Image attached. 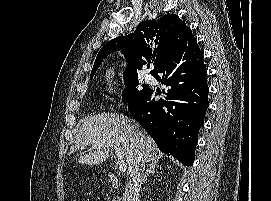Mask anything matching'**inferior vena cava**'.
I'll return each instance as SVG.
<instances>
[{
    "label": "inferior vena cava",
    "mask_w": 271,
    "mask_h": 201,
    "mask_svg": "<svg viewBox=\"0 0 271 201\" xmlns=\"http://www.w3.org/2000/svg\"><path fill=\"white\" fill-rule=\"evenodd\" d=\"M143 141L144 135L139 134ZM145 169V157L140 155L137 159L135 168L129 177L125 191L123 193L122 201H138L139 192L142 185L143 172Z\"/></svg>",
    "instance_id": "1"
}]
</instances>
